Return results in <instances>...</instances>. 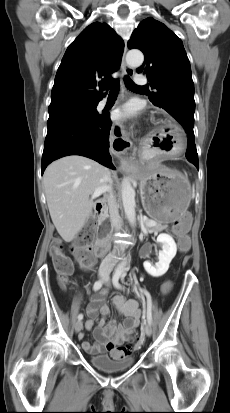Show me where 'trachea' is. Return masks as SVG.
<instances>
[{
    "instance_id": "trachea-1",
    "label": "trachea",
    "mask_w": 230,
    "mask_h": 413,
    "mask_svg": "<svg viewBox=\"0 0 230 413\" xmlns=\"http://www.w3.org/2000/svg\"><path fill=\"white\" fill-rule=\"evenodd\" d=\"M124 83L125 86L130 89V90H139V89H143L144 87L142 86H137L132 79L129 76H125L124 77ZM104 89H111L109 94L110 95H115L118 94L119 92V84L118 81L116 80L113 84L111 85H104L103 86Z\"/></svg>"
}]
</instances>
